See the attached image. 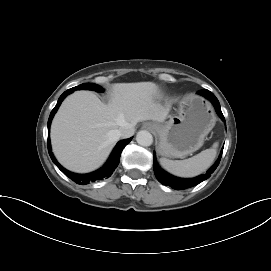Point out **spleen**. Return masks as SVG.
Returning a JSON list of instances; mask_svg holds the SVG:
<instances>
[{
    "label": "spleen",
    "mask_w": 271,
    "mask_h": 271,
    "mask_svg": "<svg viewBox=\"0 0 271 271\" xmlns=\"http://www.w3.org/2000/svg\"><path fill=\"white\" fill-rule=\"evenodd\" d=\"M218 143L209 149L185 160L160 158L161 166L169 173L183 178H190L205 172L213 163L217 154Z\"/></svg>",
    "instance_id": "1"
}]
</instances>
